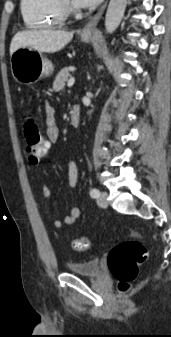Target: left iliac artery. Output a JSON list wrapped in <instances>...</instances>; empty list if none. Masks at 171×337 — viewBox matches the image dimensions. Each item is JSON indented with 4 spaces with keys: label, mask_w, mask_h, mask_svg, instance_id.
<instances>
[{
    "label": "left iliac artery",
    "mask_w": 171,
    "mask_h": 337,
    "mask_svg": "<svg viewBox=\"0 0 171 337\" xmlns=\"http://www.w3.org/2000/svg\"><path fill=\"white\" fill-rule=\"evenodd\" d=\"M90 196L92 198H98L100 196V191L96 188L91 189Z\"/></svg>",
    "instance_id": "obj_1"
}]
</instances>
